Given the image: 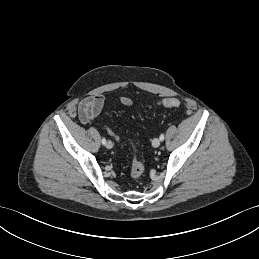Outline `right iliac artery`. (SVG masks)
Here are the masks:
<instances>
[{"instance_id":"right-iliac-artery-1","label":"right iliac artery","mask_w":259,"mask_h":259,"mask_svg":"<svg viewBox=\"0 0 259 259\" xmlns=\"http://www.w3.org/2000/svg\"><path fill=\"white\" fill-rule=\"evenodd\" d=\"M102 144L106 145V139L105 138H102Z\"/></svg>"}]
</instances>
